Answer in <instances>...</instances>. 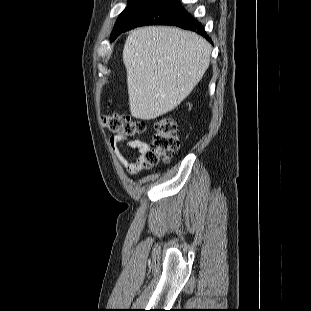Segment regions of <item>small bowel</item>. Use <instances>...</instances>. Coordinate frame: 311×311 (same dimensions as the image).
I'll return each mask as SVG.
<instances>
[{"label":"small bowel","mask_w":311,"mask_h":311,"mask_svg":"<svg viewBox=\"0 0 311 311\" xmlns=\"http://www.w3.org/2000/svg\"><path fill=\"white\" fill-rule=\"evenodd\" d=\"M110 144L118 162L130 175H135L143 169L145 156L149 150L146 142L139 139L127 140L125 136L116 134L110 139ZM120 144H125L128 148L136 150V157L132 159L126 158L119 150Z\"/></svg>","instance_id":"small-bowel-1"}]
</instances>
